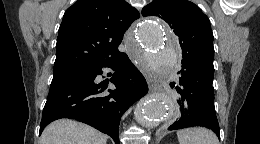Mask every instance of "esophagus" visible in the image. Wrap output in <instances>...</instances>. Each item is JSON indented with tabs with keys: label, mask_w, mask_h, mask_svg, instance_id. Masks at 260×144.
I'll use <instances>...</instances> for the list:
<instances>
[{
	"label": "esophagus",
	"mask_w": 260,
	"mask_h": 144,
	"mask_svg": "<svg viewBox=\"0 0 260 144\" xmlns=\"http://www.w3.org/2000/svg\"><path fill=\"white\" fill-rule=\"evenodd\" d=\"M146 79L148 82L149 90L151 92L156 91L158 88V84H157L156 80H154V78H152L151 76H146Z\"/></svg>",
	"instance_id": "34e87169"
}]
</instances>
